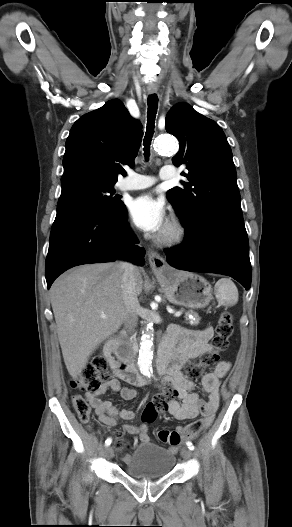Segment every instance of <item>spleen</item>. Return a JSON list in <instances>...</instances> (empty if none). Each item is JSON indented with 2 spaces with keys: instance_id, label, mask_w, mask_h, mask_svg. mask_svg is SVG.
Listing matches in <instances>:
<instances>
[{
  "instance_id": "spleen-1",
  "label": "spleen",
  "mask_w": 292,
  "mask_h": 527,
  "mask_svg": "<svg viewBox=\"0 0 292 527\" xmlns=\"http://www.w3.org/2000/svg\"><path fill=\"white\" fill-rule=\"evenodd\" d=\"M214 290L219 303L232 306L238 302L237 287L230 279L222 278L218 280Z\"/></svg>"
}]
</instances>
